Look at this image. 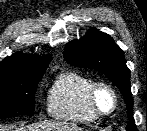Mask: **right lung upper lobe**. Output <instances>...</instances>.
Returning <instances> with one entry per match:
<instances>
[{
	"label": "right lung upper lobe",
	"instance_id": "1",
	"mask_svg": "<svg viewBox=\"0 0 147 131\" xmlns=\"http://www.w3.org/2000/svg\"><path fill=\"white\" fill-rule=\"evenodd\" d=\"M50 60V55L38 56L15 53L1 62L0 73H33L45 71Z\"/></svg>",
	"mask_w": 147,
	"mask_h": 131
}]
</instances>
